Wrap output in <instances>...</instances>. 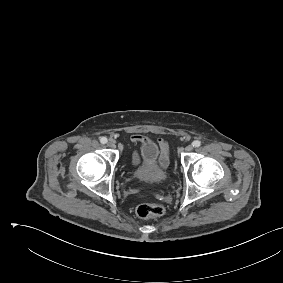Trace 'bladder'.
<instances>
[{"label":"bladder","mask_w":283,"mask_h":283,"mask_svg":"<svg viewBox=\"0 0 283 283\" xmlns=\"http://www.w3.org/2000/svg\"><path fill=\"white\" fill-rule=\"evenodd\" d=\"M158 154L159 148L154 142L148 141L141 144L140 156L143 162V166L134 171V176L142 177L147 172L154 170Z\"/></svg>","instance_id":"1"}]
</instances>
